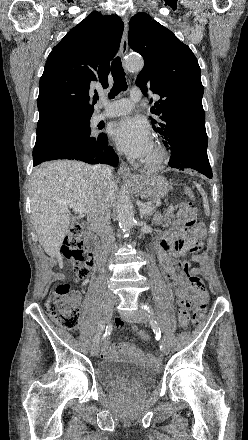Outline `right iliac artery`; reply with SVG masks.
Returning <instances> with one entry per match:
<instances>
[{"instance_id": "1", "label": "right iliac artery", "mask_w": 248, "mask_h": 440, "mask_svg": "<svg viewBox=\"0 0 248 440\" xmlns=\"http://www.w3.org/2000/svg\"><path fill=\"white\" fill-rule=\"evenodd\" d=\"M105 329V322L102 320L98 323L97 334L93 338V344H98L100 340V335ZM107 330V327H106Z\"/></svg>"}]
</instances>
